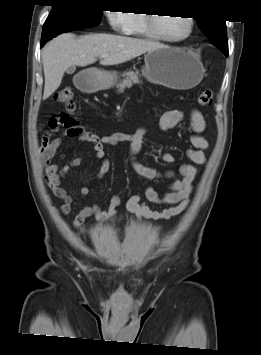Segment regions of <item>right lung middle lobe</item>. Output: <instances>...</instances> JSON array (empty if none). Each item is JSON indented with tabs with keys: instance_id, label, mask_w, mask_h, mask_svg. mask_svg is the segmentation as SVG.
<instances>
[{
	"instance_id": "1",
	"label": "right lung middle lobe",
	"mask_w": 261,
	"mask_h": 355,
	"mask_svg": "<svg viewBox=\"0 0 261 355\" xmlns=\"http://www.w3.org/2000/svg\"><path fill=\"white\" fill-rule=\"evenodd\" d=\"M52 6L44 24L68 20L93 27L98 25L102 18V10L90 0H65Z\"/></svg>"
}]
</instances>
